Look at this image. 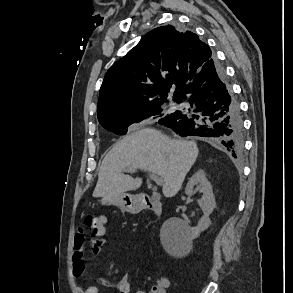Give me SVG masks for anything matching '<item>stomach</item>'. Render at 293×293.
I'll return each instance as SVG.
<instances>
[{
  "instance_id": "stomach-1",
  "label": "stomach",
  "mask_w": 293,
  "mask_h": 293,
  "mask_svg": "<svg viewBox=\"0 0 293 293\" xmlns=\"http://www.w3.org/2000/svg\"><path fill=\"white\" fill-rule=\"evenodd\" d=\"M100 201L103 205H115L127 212L133 211L138 205L135 198L128 193H122L111 197H102Z\"/></svg>"
}]
</instances>
